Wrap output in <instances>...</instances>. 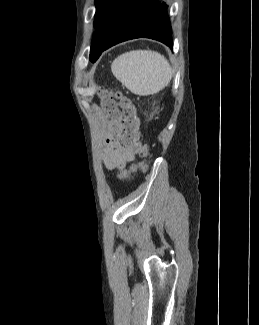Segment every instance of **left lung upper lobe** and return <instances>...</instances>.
Listing matches in <instances>:
<instances>
[{
  "instance_id": "left-lung-upper-lobe-1",
  "label": "left lung upper lobe",
  "mask_w": 259,
  "mask_h": 325,
  "mask_svg": "<svg viewBox=\"0 0 259 325\" xmlns=\"http://www.w3.org/2000/svg\"><path fill=\"white\" fill-rule=\"evenodd\" d=\"M124 0H95L96 14H95V28L92 45L90 49V61L95 62L101 55L102 41L104 32L108 26V23L122 4Z\"/></svg>"
}]
</instances>
